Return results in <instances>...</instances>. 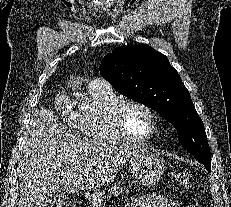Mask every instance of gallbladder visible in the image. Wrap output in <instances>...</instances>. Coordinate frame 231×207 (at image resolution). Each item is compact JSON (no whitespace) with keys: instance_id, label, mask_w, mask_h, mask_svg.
I'll use <instances>...</instances> for the list:
<instances>
[{"instance_id":"bac80fb5","label":"gallbladder","mask_w":231,"mask_h":207,"mask_svg":"<svg viewBox=\"0 0 231 207\" xmlns=\"http://www.w3.org/2000/svg\"><path fill=\"white\" fill-rule=\"evenodd\" d=\"M66 199H68V196L64 192L58 191L49 197L48 204L50 207L54 205L58 206L61 205Z\"/></svg>"}]
</instances>
